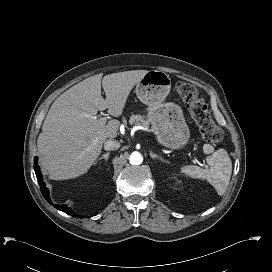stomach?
I'll return each mask as SVG.
<instances>
[{
    "label": "stomach",
    "mask_w": 272,
    "mask_h": 272,
    "mask_svg": "<svg viewBox=\"0 0 272 272\" xmlns=\"http://www.w3.org/2000/svg\"><path fill=\"white\" fill-rule=\"evenodd\" d=\"M171 79L163 71L151 70L136 84L138 99L148 106V121L158 143L170 149L183 147L190 138L183 111L175 103H166Z\"/></svg>",
    "instance_id": "obj_1"
}]
</instances>
